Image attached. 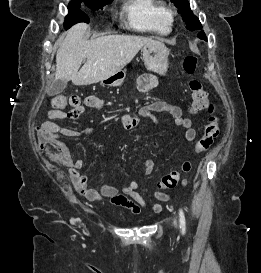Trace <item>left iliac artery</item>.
Here are the masks:
<instances>
[{
    "instance_id": "1",
    "label": "left iliac artery",
    "mask_w": 261,
    "mask_h": 273,
    "mask_svg": "<svg viewBox=\"0 0 261 273\" xmlns=\"http://www.w3.org/2000/svg\"><path fill=\"white\" fill-rule=\"evenodd\" d=\"M179 221H180V228L182 232H185L186 221H185V215L182 209L179 210Z\"/></svg>"
}]
</instances>
